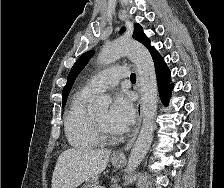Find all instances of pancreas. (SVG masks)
Instances as JSON below:
<instances>
[{
  "label": "pancreas",
  "instance_id": "obj_1",
  "mask_svg": "<svg viewBox=\"0 0 224 188\" xmlns=\"http://www.w3.org/2000/svg\"><path fill=\"white\" fill-rule=\"evenodd\" d=\"M98 186L97 177H93L86 181L82 188H96Z\"/></svg>",
  "mask_w": 224,
  "mask_h": 188
}]
</instances>
